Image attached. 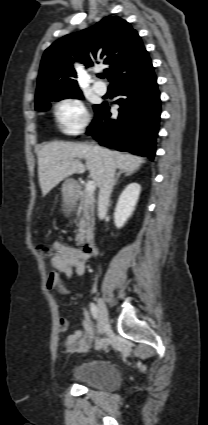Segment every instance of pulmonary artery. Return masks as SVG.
Segmentation results:
<instances>
[{
  "mask_svg": "<svg viewBox=\"0 0 208 425\" xmlns=\"http://www.w3.org/2000/svg\"><path fill=\"white\" fill-rule=\"evenodd\" d=\"M93 89L96 93H98L100 95H104L107 92L106 84L99 82V81L94 83Z\"/></svg>",
  "mask_w": 208,
  "mask_h": 425,
  "instance_id": "pulmonary-artery-1",
  "label": "pulmonary artery"
}]
</instances>
